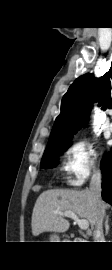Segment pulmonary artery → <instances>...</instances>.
<instances>
[{
  "label": "pulmonary artery",
  "instance_id": "obj_1",
  "mask_svg": "<svg viewBox=\"0 0 112 270\" xmlns=\"http://www.w3.org/2000/svg\"><path fill=\"white\" fill-rule=\"evenodd\" d=\"M109 130L112 131V123L109 124Z\"/></svg>",
  "mask_w": 112,
  "mask_h": 270
}]
</instances>
